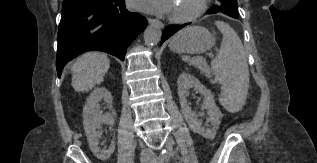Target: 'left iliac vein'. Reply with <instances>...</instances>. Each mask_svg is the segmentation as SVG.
<instances>
[{
	"label": "left iliac vein",
	"mask_w": 317,
	"mask_h": 163,
	"mask_svg": "<svg viewBox=\"0 0 317 163\" xmlns=\"http://www.w3.org/2000/svg\"><path fill=\"white\" fill-rule=\"evenodd\" d=\"M171 156V153L168 154V157ZM156 163V162H155Z\"/></svg>",
	"instance_id": "left-iliac-vein-1"
}]
</instances>
